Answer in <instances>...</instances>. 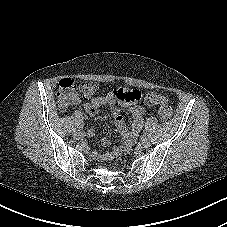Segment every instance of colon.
<instances>
[{
	"label": "colon",
	"instance_id": "colon-1",
	"mask_svg": "<svg viewBox=\"0 0 227 227\" xmlns=\"http://www.w3.org/2000/svg\"><path fill=\"white\" fill-rule=\"evenodd\" d=\"M98 86L94 83L77 84L72 78H64L59 81V89L57 93L58 107L61 111H65L73 103L78 101L79 94L85 99H90L98 92ZM141 99V94H140ZM144 101L150 106L160 105L159 117L162 121H167L172 116V110L167 99L158 92H148Z\"/></svg>",
	"mask_w": 227,
	"mask_h": 227
}]
</instances>
